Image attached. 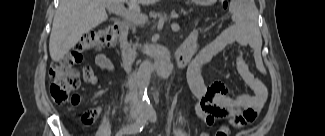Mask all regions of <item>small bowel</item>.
<instances>
[{
	"label": "small bowel",
	"instance_id": "1",
	"mask_svg": "<svg viewBox=\"0 0 325 136\" xmlns=\"http://www.w3.org/2000/svg\"><path fill=\"white\" fill-rule=\"evenodd\" d=\"M201 39L199 32H194L189 38L188 43L196 44ZM234 46L236 55V69L253 92L252 95L239 93L227 83L217 82L212 85H206L203 82L200 71L202 66L214 55L223 51L229 46ZM253 37L244 27L242 21L237 22L207 43L199 47L197 54L193 57L187 74V82L191 90L193 107L197 115L207 126H213L217 119H226L229 125L234 128H242L254 122L258 113L264 106L268 97V90L265 84L257 78L248 68L244 60L243 47L252 46ZM79 47L67 48L68 67L76 68L77 64H85L86 58L79 53ZM95 65L107 72H113L114 66L110 59L103 53L95 56ZM84 80L89 84L97 82L96 74L92 67L86 66L83 69ZM77 105L80 101L76 96ZM102 112V108H91L86 110L81 120L85 124L93 122ZM223 133L222 136H228L229 127L222 126L216 133Z\"/></svg>",
	"mask_w": 325,
	"mask_h": 136
}]
</instances>
